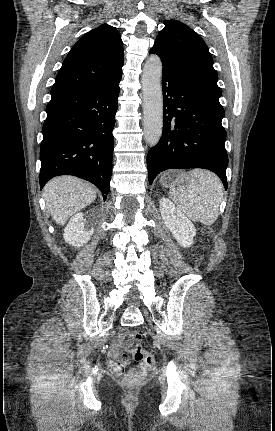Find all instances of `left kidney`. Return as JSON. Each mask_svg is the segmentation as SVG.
Wrapping results in <instances>:
<instances>
[{"instance_id":"obj_1","label":"left kidney","mask_w":275,"mask_h":431,"mask_svg":"<svg viewBox=\"0 0 275 431\" xmlns=\"http://www.w3.org/2000/svg\"><path fill=\"white\" fill-rule=\"evenodd\" d=\"M159 210L165 225L177 242L184 248L190 247L196 235L193 223L168 198H161Z\"/></svg>"}]
</instances>
